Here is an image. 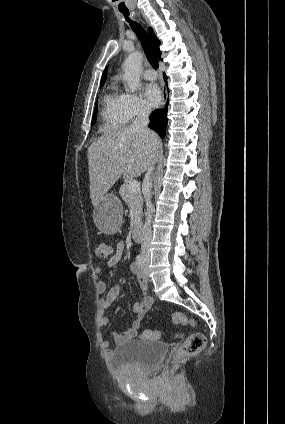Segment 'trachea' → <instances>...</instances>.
<instances>
[{
	"label": "trachea",
	"instance_id": "1",
	"mask_svg": "<svg viewBox=\"0 0 285 424\" xmlns=\"http://www.w3.org/2000/svg\"><path fill=\"white\" fill-rule=\"evenodd\" d=\"M121 12L123 13L124 17H126V20L131 25V28L133 29L135 34L140 39L142 47L144 49V52L147 56L148 61L150 62V64L154 68H158V66H159L158 56H157V53H156V51H155V49L152 45L150 38L147 35V33L145 32V30L143 29V27L139 23L134 22V21H130V19L128 18L129 11H121Z\"/></svg>",
	"mask_w": 285,
	"mask_h": 424
}]
</instances>
